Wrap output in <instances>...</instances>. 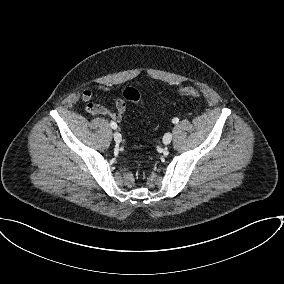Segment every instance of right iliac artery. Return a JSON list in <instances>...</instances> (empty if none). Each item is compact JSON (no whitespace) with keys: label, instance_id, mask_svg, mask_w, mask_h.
Wrapping results in <instances>:
<instances>
[{"label":"right iliac artery","instance_id":"82829eb1","mask_svg":"<svg viewBox=\"0 0 284 284\" xmlns=\"http://www.w3.org/2000/svg\"><path fill=\"white\" fill-rule=\"evenodd\" d=\"M110 125L113 129H116L117 128V124L113 121L110 122Z\"/></svg>","mask_w":284,"mask_h":284}]
</instances>
